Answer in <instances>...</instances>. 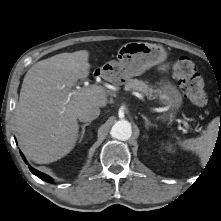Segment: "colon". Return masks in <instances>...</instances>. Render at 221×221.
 Returning <instances> with one entry per match:
<instances>
[{
    "instance_id": "1",
    "label": "colon",
    "mask_w": 221,
    "mask_h": 221,
    "mask_svg": "<svg viewBox=\"0 0 221 221\" xmlns=\"http://www.w3.org/2000/svg\"><path fill=\"white\" fill-rule=\"evenodd\" d=\"M173 71L189 100L197 107H205L207 105L205 86L194 62L187 56H181L175 63Z\"/></svg>"
}]
</instances>
